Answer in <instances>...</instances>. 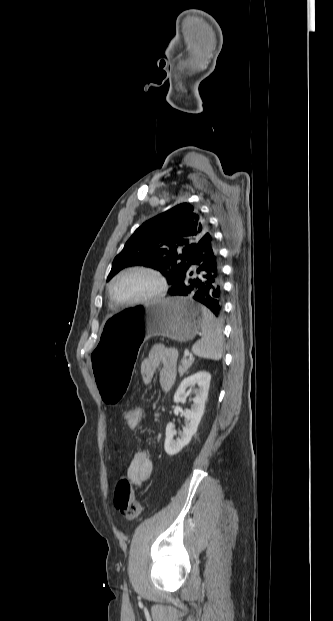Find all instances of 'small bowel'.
Returning <instances> with one entry per match:
<instances>
[{"label": "small bowel", "mask_w": 333, "mask_h": 621, "mask_svg": "<svg viewBox=\"0 0 333 621\" xmlns=\"http://www.w3.org/2000/svg\"><path fill=\"white\" fill-rule=\"evenodd\" d=\"M177 352L174 349L154 346L141 364V375L145 383H150L159 368V385L168 391L174 384L177 374ZM153 471V457L148 450L137 451L127 469L128 479L136 486L148 480Z\"/></svg>", "instance_id": "c3829d8e"}]
</instances>
